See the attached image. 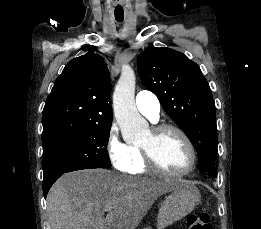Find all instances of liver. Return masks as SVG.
Here are the masks:
<instances>
[{
	"label": "liver",
	"mask_w": 261,
	"mask_h": 229,
	"mask_svg": "<svg viewBox=\"0 0 261 229\" xmlns=\"http://www.w3.org/2000/svg\"><path fill=\"white\" fill-rule=\"evenodd\" d=\"M171 191V181L107 169L74 171L51 187L47 217L51 229H136L158 197Z\"/></svg>",
	"instance_id": "liver-1"
}]
</instances>
